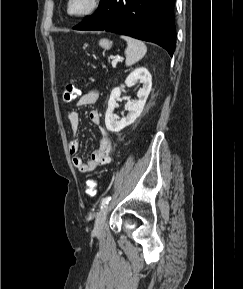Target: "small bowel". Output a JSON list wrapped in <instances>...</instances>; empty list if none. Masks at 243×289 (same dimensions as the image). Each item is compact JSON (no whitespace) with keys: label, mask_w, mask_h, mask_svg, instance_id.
Instances as JSON below:
<instances>
[{"label":"small bowel","mask_w":243,"mask_h":289,"mask_svg":"<svg viewBox=\"0 0 243 289\" xmlns=\"http://www.w3.org/2000/svg\"><path fill=\"white\" fill-rule=\"evenodd\" d=\"M98 99V92L95 89L89 90L87 93L81 95L77 102V106H86L94 104ZM90 121L99 126V143L97 148L91 153L90 158L84 161L79 155V140L73 137L69 142V152L72 156V163L76 169L81 173H88L95 170L98 166L109 163L111 141L108 132L100 126V115L96 110H92L89 113ZM68 120L70 124V130L73 136L79 130L80 118L76 110H71L68 113Z\"/></svg>","instance_id":"obj_1"}]
</instances>
